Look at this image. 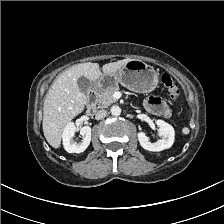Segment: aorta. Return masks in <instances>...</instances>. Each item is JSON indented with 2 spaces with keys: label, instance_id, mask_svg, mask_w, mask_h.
I'll return each mask as SVG.
<instances>
[{
  "label": "aorta",
  "instance_id": "762f6f07",
  "mask_svg": "<svg viewBox=\"0 0 224 224\" xmlns=\"http://www.w3.org/2000/svg\"><path fill=\"white\" fill-rule=\"evenodd\" d=\"M110 111L113 116H119L121 114V109L119 106H112Z\"/></svg>",
  "mask_w": 224,
  "mask_h": 224
}]
</instances>
